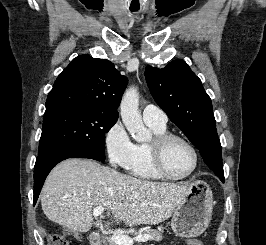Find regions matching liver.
<instances>
[{
	"mask_svg": "<svg viewBox=\"0 0 266 245\" xmlns=\"http://www.w3.org/2000/svg\"><path fill=\"white\" fill-rule=\"evenodd\" d=\"M189 187L177 183H152L115 169L102 167L93 159H67L52 169L41 193V205L49 221L70 231L87 233L95 207H105L112 223L127 227L157 225L185 203Z\"/></svg>",
	"mask_w": 266,
	"mask_h": 245,
	"instance_id": "1",
	"label": "liver"
}]
</instances>
